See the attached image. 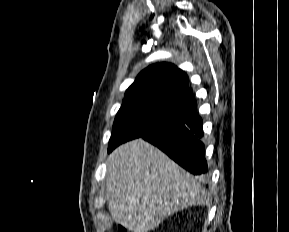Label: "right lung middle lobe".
<instances>
[{"label": "right lung middle lobe", "mask_w": 289, "mask_h": 232, "mask_svg": "<svg viewBox=\"0 0 289 232\" xmlns=\"http://www.w3.org/2000/svg\"><path fill=\"white\" fill-rule=\"evenodd\" d=\"M183 114L179 110L146 101L123 100L114 121L108 152L121 143L141 137L180 118Z\"/></svg>", "instance_id": "dd1d6c3e"}]
</instances>
